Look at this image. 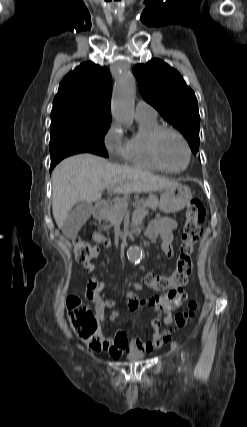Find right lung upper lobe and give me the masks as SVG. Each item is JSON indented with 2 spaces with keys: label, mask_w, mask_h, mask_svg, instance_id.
<instances>
[{
  "label": "right lung upper lobe",
  "mask_w": 247,
  "mask_h": 427,
  "mask_svg": "<svg viewBox=\"0 0 247 427\" xmlns=\"http://www.w3.org/2000/svg\"><path fill=\"white\" fill-rule=\"evenodd\" d=\"M111 93L108 68L84 62L61 81L51 114L75 111L95 118H111Z\"/></svg>",
  "instance_id": "1"
}]
</instances>
